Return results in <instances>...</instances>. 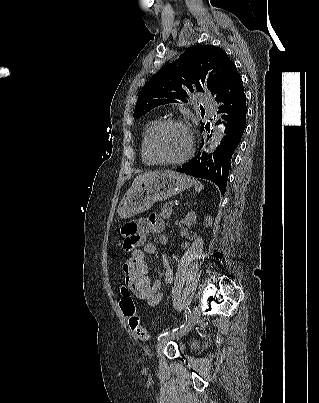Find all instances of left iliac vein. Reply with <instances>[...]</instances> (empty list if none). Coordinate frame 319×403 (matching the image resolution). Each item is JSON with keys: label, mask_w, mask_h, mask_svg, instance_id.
Segmentation results:
<instances>
[{"label": "left iliac vein", "mask_w": 319, "mask_h": 403, "mask_svg": "<svg viewBox=\"0 0 319 403\" xmlns=\"http://www.w3.org/2000/svg\"><path fill=\"white\" fill-rule=\"evenodd\" d=\"M199 316H200V310L198 307H195L192 311L189 321L186 323L184 328H182L180 331L174 333L173 335L166 336V337L162 338L161 340H159V342L156 345L157 354H160L163 351L167 342H169L170 340L177 339V338H180V337L186 335L197 323Z\"/></svg>", "instance_id": "left-iliac-vein-1"}]
</instances>
